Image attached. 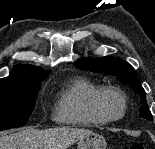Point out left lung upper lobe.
Instances as JSON below:
<instances>
[{"label": "left lung upper lobe", "mask_w": 155, "mask_h": 149, "mask_svg": "<svg viewBox=\"0 0 155 149\" xmlns=\"http://www.w3.org/2000/svg\"><path fill=\"white\" fill-rule=\"evenodd\" d=\"M75 66L80 69L96 73H106L116 77L118 80L126 83L129 87L141 96V107L139 116L146 120H153L149 110L146 94L140 84L138 75L134 68L125 60L111 57L102 59H80L76 61Z\"/></svg>", "instance_id": "5c2ea615"}]
</instances>
